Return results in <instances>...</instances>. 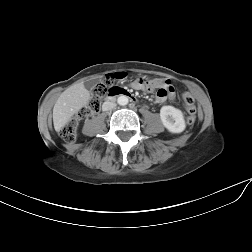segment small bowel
I'll return each instance as SVG.
<instances>
[{"label": "small bowel", "instance_id": "obj_1", "mask_svg": "<svg viewBox=\"0 0 252 252\" xmlns=\"http://www.w3.org/2000/svg\"><path fill=\"white\" fill-rule=\"evenodd\" d=\"M150 87L144 88L141 83L140 79L135 80L130 84L131 88L135 90H144V91H153L157 90L156 94V102L163 103L167 99L173 100L175 98V89L170 80L167 79H151L148 80Z\"/></svg>", "mask_w": 252, "mask_h": 252}]
</instances>
